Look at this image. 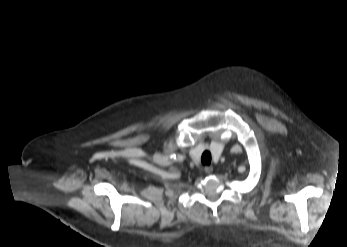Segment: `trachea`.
<instances>
[{
	"mask_svg": "<svg viewBox=\"0 0 347 247\" xmlns=\"http://www.w3.org/2000/svg\"><path fill=\"white\" fill-rule=\"evenodd\" d=\"M201 161L204 165H209L211 163V154L209 151L203 152Z\"/></svg>",
	"mask_w": 347,
	"mask_h": 247,
	"instance_id": "1",
	"label": "trachea"
}]
</instances>
